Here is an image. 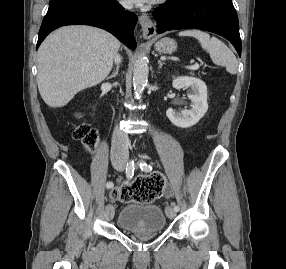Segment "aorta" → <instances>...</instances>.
I'll list each match as a JSON object with an SVG mask.
<instances>
[{
    "label": "aorta",
    "mask_w": 286,
    "mask_h": 269,
    "mask_svg": "<svg viewBox=\"0 0 286 269\" xmlns=\"http://www.w3.org/2000/svg\"><path fill=\"white\" fill-rule=\"evenodd\" d=\"M148 63L144 55H139L134 63L133 85L136 97L141 96L148 81Z\"/></svg>",
    "instance_id": "762f6f07"
}]
</instances>
